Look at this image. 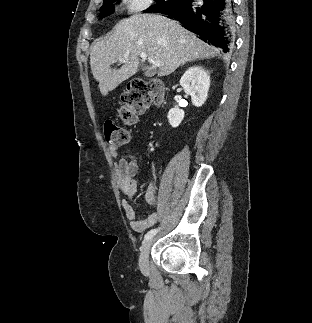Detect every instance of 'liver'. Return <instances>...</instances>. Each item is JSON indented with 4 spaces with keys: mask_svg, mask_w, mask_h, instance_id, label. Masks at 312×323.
I'll use <instances>...</instances> for the list:
<instances>
[{
    "mask_svg": "<svg viewBox=\"0 0 312 323\" xmlns=\"http://www.w3.org/2000/svg\"><path fill=\"white\" fill-rule=\"evenodd\" d=\"M142 52L160 62L158 76H169L181 64L215 56L217 50L162 14H135L116 24L111 36L97 40L91 50V72L102 96L136 74ZM121 58H126L123 66L112 70Z\"/></svg>",
    "mask_w": 312,
    "mask_h": 323,
    "instance_id": "6515ba94",
    "label": "liver"
}]
</instances>
